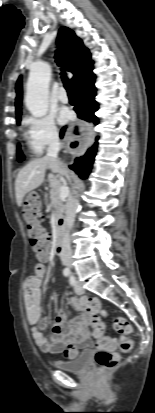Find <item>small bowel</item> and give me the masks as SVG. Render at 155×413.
Listing matches in <instances>:
<instances>
[{
  "label": "small bowel",
  "mask_w": 155,
  "mask_h": 413,
  "mask_svg": "<svg viewBox=\"0 0 155 413\" xmlns=\"http://www.w3.org/2000/svg\"><path fill=\"white\" fill-rule=\"evenodd\" d=\"M50 253L40 263L35 265L33 273L26 277V295L24 307L28 323L31 325V334L36 345L46 353H63L68 358H74L80 349L90 347L92 340L88 327L93 330V336H97V327L104 333L105 325L102 320H97L92 314L86 312L87 297L70 298L69 302L80 315L68 321V312L60 310L57 314L53 333L50 337L45 335L49 320L42 317L41 302L43 297V278L46 273L44 263L49 261ZM112 341V348L114 341Z\"/></svg>",
  "instance_id": "c3829d8e"
}]
</instances>
